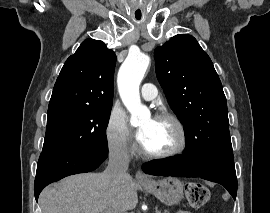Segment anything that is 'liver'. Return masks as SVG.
<instances>
[{
	"label": "liver",
	"mask_w": 270,
	"mask_h": 213,
	"mask_svg": "<svg viewBox=\"0 0 270 213\" xmlns=\"http://www.w3.org/2000/svg\"><path fill=\"white\" fill-rule=\"evenodd\" d=\"M137 203L136 185L130 175L116 183L105 172L67 177L45 188L39 197L42 213H122Z\"/></svg>",
	"instance_id": "1"
}]
</instances>
